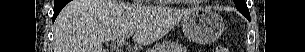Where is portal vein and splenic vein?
Segmentation results:
<instances>
[{
	"label": "portal vein and splenic vein",
	"mask_w": 305,
	"mask_h": 52,
	"mask_svg": "<svg viewBox=\"0 0 305 52\" xmlns=\"http://www.w3.org/2000/svg\"><path fill=\"white\" fill-rule=\"evenodd\" d=\"M131 35H132V33H128V34H124V35L118 37V39H117L118 45L124 44L125 40L127 38H129Z\"/></svg>",
	"instance_id": "obj_1"
}]
</instances>
